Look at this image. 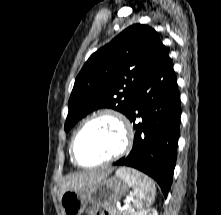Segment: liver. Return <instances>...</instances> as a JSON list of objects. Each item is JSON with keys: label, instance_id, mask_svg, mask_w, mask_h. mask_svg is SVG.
Returning <instances> with one entry per match:
<instances>
[{"label": "liver", "instance_id": "1", "mask_svg": "<svg viewBox=\"0 0 221 215\" xmlns=\"http://www.w3.org/2000/svg\"><path fill=\"white\" fill-rule=\"evenodd\" d=\"M111 172V168H106L67 176L61 184V195L68 190H86L98 181L107 178Z\"/></svg>", "mask_w": 221, "mask_h": 215}]
</instances>
